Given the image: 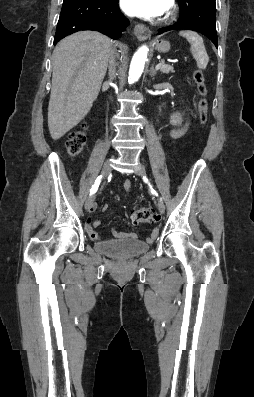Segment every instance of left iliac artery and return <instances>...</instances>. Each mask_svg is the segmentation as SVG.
<instances>
[{
	"label": "left iliac artery",
	"instance_id": "obj_1",
	"mask_svg": "<svg viewBox=\"0 0 254 397\" xmlns=\"http://www.w3.org/2000/svg\"><path fill=\"white\" fill-rule=\"evenodd\" d=\"M143 180L147 183L148 182V180H147V178L146 177H143ZM151 187V186H150ZM151 192L154 194V195H156V196H158V194L152 189L151 190Z\"/></svg>",
	"mask_w": 254,
	"mask_h": 397
}]
</instances>
